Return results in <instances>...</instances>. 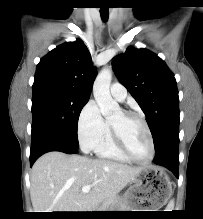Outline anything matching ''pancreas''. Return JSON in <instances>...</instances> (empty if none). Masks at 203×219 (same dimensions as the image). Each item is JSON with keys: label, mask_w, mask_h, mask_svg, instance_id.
Wrapping results in <instances>:
<instances>
[{"label": "pancreas", "mask_w": 203, "mask_h": 219, "mask_svg": "<svg viewBox=\"0 0 203 219\" xmlns=\"http://www.w3.org/2000/svg\"><path fill=\"white\" fill-rule=\"evenodd\" d=\"M127 208L122 197H114L112 199L104 201L97 207V211H113V210H125Z\"/></svg>", "instance_id": "1"}]
</instances>
